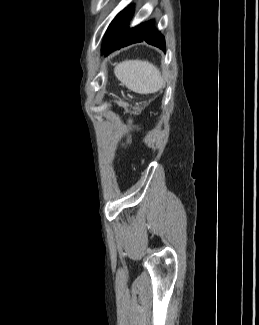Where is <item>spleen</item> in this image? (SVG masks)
Wrapping results in <instances>:
<instances>
[{
	"label": "spleen",
	"mask_w": 259,
	"mask_h": 325,
	"mask_svg": "<svg viewBox=\"0 0 259 325\" xmlns=\"http://www.w3.org/2000/svg\"><path fill=\"white\" fill-rule=\"evenodd\" d=\"M114 74L129 90L139 94L154 93L163 85L159 69L148 61H123L115 66Z\"/></svg>",
	"instance_id": "obj_1"
}]
</instances>
